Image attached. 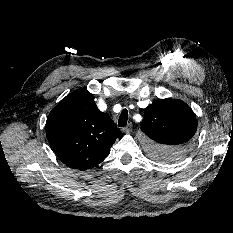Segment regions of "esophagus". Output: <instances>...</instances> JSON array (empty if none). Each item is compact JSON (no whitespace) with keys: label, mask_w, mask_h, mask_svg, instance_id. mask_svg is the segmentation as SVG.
Returning a JSON list of instances; mask_svg holds the SVG:
<instances>
[{"label":"esophagus","mask_w":233,"mask_h":233,"mask_svg":"<svg viewBox=\"0 0 233 233\" xmlns=\"http://www.w3.org/2000/svg\"><path fill=\"white\" fill-rule=\"evenodd\" d=\"M131 130H132V125H131V124H128L126 127H124V128L122 129V131H123L124 133H126V134L130 133Z\"/></svg>","instance_id":"esophagus-1"}]
</instances>
